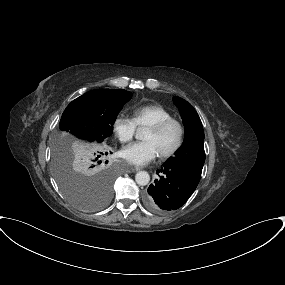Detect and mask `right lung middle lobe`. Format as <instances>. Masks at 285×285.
<instances>
[{
  "mask_svg": "<svg viewBox=\"0 0 285 285\" xmlns=\"http://www.w3.org/2000/svg\"><path fill=\"white\" fill-rule=\"evenodd\" d=\"M131 96L122 89L92 90L73 100L61 117L53 146L54 176L63 194L80 209L96 211L110 200L111 167L92 173L89 166L103 163L101 143L112 135L117 115ZM70 135L92 144H79Z\"/></svg>",
  "mask_w": 285,
  "mask_h": 285,
  "instance_id": "obj_1",
  "label": "right lung middle lobe"
}]
</instances>
